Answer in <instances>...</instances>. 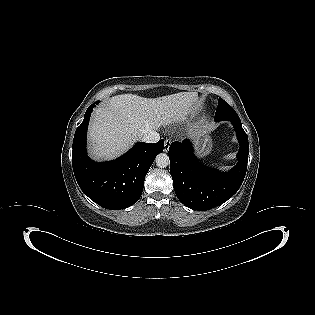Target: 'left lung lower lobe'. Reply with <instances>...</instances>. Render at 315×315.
I'll return each instance as SVG.
<instances>
[{"label":"left lung lower lobe","instance_id":"0a47b994","mask_svg":"<svg viewBox=\"0 0 315 315\" xmlns=\"http://www.w3.org/2000/svg\"><path fill=\"white\" fill-rule=\"evenodd\" d=\"M240 143L238 163L223 173L203 166L193 153L190 140L173 142L169 147L170 173L175 193L185 206L208 210L231 198L241 186L248 163V137L240 120L231 121Z\"/></svg>","mask_w":315,"mask_h":315}]
</instances>
